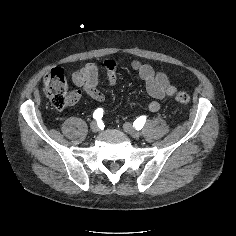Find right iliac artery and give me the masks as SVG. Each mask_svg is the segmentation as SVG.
I'll return each mask as SVG.
<instances>
[{"instance_id":"right-iliac-artery-1","label":"right iliac artery","mask_w":236,"mask_h":236,"mask_svg":"<svg viewBox=\"0 0 236 236\" xmlns=\"http://www.w3.org/2000/svg\"><path fill=\"white\" fill-rule=\"evenodd\" d=\"M102 117H103V109L98 108L97 110H95V112L93 113V118L95 120H100Z\"/></svg>"}]
</instances>
